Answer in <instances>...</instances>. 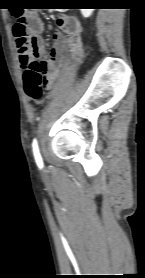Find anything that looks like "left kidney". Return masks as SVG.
Wrapping results in <instances>:
<instances>
[{
  "instance_id": "1",
  "label": "left kidney",
  "mask_w": 145,
  "mask_h": 278,
  "mask_svg": "<svg viewBox=\"0 0 145 278\" xmlns=\"http://www.w3.org/2000/svg\"><path fill=\"white\" fill-rule=\"evenodd\" d=\"M81 14L83 15V17L87 18L90 17L94 11V9H80Z\"/></svg>"
}]
</instances>
